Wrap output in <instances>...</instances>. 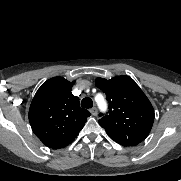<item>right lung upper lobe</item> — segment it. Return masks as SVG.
I'll use <instances>...</instances> for the list:
<instances>
[{
    "mask_svg": "<svg viewBox=\"0 0 181 181\" xmlns=\"http://www.w3.org/2000/svg\"><path fill=\"white\" fill-rule=\"evenodd\" d=\"M74 83L53 77L38 89L31 102L30 125L35 135L49 148L68 146L90 116L89 111L80 108L79 98L71 92Z\"/></svg>",
    "mask_w": 181,
    "mask_h": 181,
    "instance_id": "right-lung-upper-lobe-1",
    "label": "right lung upper lobe"
}]
</instances>
